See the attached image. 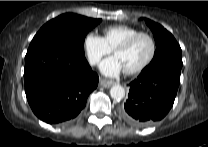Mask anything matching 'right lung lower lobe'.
Listing matches in <instances>:
<instances>
[{"label":"right lung lower lobe","mask_w":208,"mask_h":147,"mask_svg":"<svg viewBox=\"0 0 208 147\" xmlns=\"http://www.w3.org/2000/svg\"><path fill=\"white\" fill-rule=\"evenodd\" d=\"M98 80L84 55L62 44L41 47L25 56L28 103L34 114L49 124L74 119Z\"/></svg>","instance_id":"obj_1"}]
</instances>
